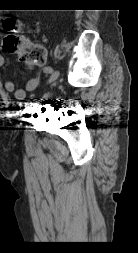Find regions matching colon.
I'll use <instances>...</instances> for the list:
<instances>
[{
  "label": "colon",
  "instance_id": "colon-1",
  "mask_svg": "<svg viewBox=\"0 0 138 253\" xmlns=\"http://www.w3.org/2000/svg\"><path fill=\"white\" fill-rule=\"evenodd\" d=\"M18 26L14 18H8L4 22V28L8 31L4 36L2 46L7 52L18 53L20 61L27 66H40L45 63L46 52L42 46L29 42L21 33L16 31Z\"/></svg>",
  "mask_w": 138,
  "mask_h": 253
}]
</instances>
